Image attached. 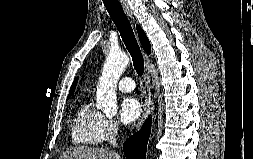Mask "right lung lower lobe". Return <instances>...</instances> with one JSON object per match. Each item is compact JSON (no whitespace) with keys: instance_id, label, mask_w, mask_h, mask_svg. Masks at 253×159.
Returning a JSON list of instances; mask_svg holds the SVG:
<instances>
[{"instance_id":"obj_1","label":"right lung lower lobe","mask_w":253,"mask_h":159,"mask_svg":"<svg viewBox=\"0 0 253 159\" xmlns=\"http://www.w3.org/2000/svg\"><path fill=\"white\" fill-rule=\"evenodd\" d=\"M150 124L151 120L148 118L141 130L125 141L123 151L126 159H145L150 135Z\"/></svg>"}]
</instances>
